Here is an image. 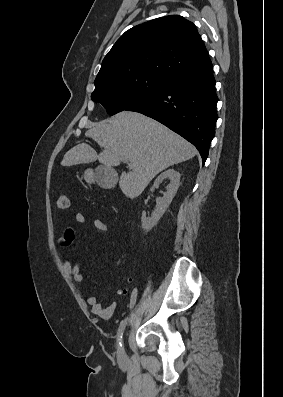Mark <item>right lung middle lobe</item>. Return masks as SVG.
<instances>
[{"label":"right lung middle lobe","mask_w":283,"mask_h":397,"mask_svg":"<svg viewBox=\"0 0 283 397\" xmlns=\"http://www.w3.org/2000/svg\"><path fill=\"white\" fill-rule=\"evenodd\" d=\"M165 80L148 75L117 77L95 82L93 101L103 105L109 115L124 111L157 91Z\"/></svg>","instance_id":"dd1d6c3e"}]
</instances>
